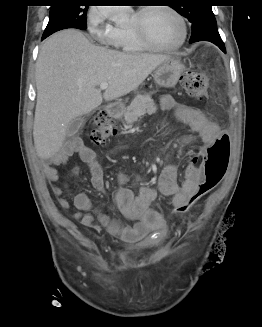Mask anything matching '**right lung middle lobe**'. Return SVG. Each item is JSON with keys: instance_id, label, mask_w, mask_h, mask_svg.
<instances>
[{"instance_id": "obj_1", "label": "right lung middle lobe", "mask_w": 262, "mask_h": 327, "mask_svg": "<svg viewBox=\"0 0 262 327\" xmlns=\"http://www.w3.org/2000/svg\"><path fill=\"white\" fill-rule=\"evenodd\" d=\"M77 0H56L57 4L51 6L50 18L43 36L66 29H86V13L88 6H80Z\"/></svg>"}]
</instances>
